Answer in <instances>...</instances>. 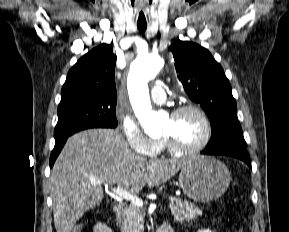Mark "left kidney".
<instances>
[{"label":"left kidney","instance_id":"left-kidney-1","mask_svg":"<svg viewBox=\"0 0 289 232\" xmlns=\"http://www.w3.org/2000/svg\"><path fill=\"white\" fill-rule=\"evenodd\" d=\"M198 232H212V231H211V230H207V229L205 230V229H204V230H199Z\"/></svg>","mask_w":289,"mask_h":232}]
</instances>
